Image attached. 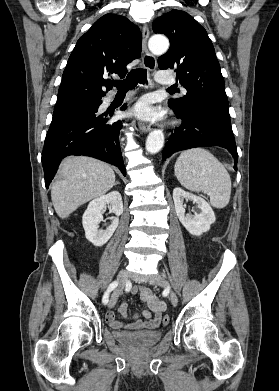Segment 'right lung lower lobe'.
Returning <instances> with one entry per match:
<instances>
[{
	"label": "right lung lower lobe",
	"instance_id": "1",
	"mask_svg": "<svg viewBox=\"0 0 279 391\" xmlns=\"http://www.w3.org/2000/svg\"><path fill=\"white\" fill-rule=\"evenodd\" d=\"M101 100L55 109L42 152L45 185L48 188L61 159L86 155L117 166L126 175L120 145V121L113 114H99Z\"/></svg>",
	"mask_w": 279,
	"mask_h": 391
}]
</instances>
